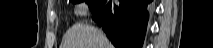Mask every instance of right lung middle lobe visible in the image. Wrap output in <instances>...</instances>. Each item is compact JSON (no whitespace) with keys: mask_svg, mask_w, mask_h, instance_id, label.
I'll use <instances>...</instances> for the list:
<instances>
[{"mask_svg":"<svg viewBox=\"0 0 213 48\" xmlns=\"http://www.w3.org/2000/svg\"><path fill=\"white\" fill-rule=\"evenodd\" d=\"M87 2L89 4L90 9L99 1V0H70L72 3H80V2Z\"/></svg>","mask_w":213,"mask_h":48,"instance_id":"obj_1","label":"right lung middle lobe"}]
</instances>
